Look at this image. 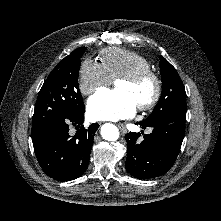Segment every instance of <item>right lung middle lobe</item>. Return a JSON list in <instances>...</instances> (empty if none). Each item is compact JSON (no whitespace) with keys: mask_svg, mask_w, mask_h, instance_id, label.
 Here are the masks:
<instances>
[{"mask_svg":"<svg viewBox=\"0 0 221 221\" xmlns=\"http://www.w3.org/2000/svg\"><path fill=\"white\" fill-rule=\"evenodd\" d=\"M84 52L82 47L62 59L44 82L35 104L31 134L56 119L84 111L78 85L80 58Z\"/></svg>","mask_w":221,"mask_h":221,"instance_id":"1","label":"right lung middle lobe"}]
</instances>
